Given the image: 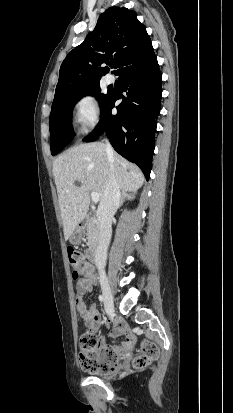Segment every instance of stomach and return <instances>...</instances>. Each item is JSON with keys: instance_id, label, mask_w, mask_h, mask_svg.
<instances>
[{"instance_id": "stomach-1", "label": "stomach", "mask_w": 233, "mask_h": 413, "mask_svg": "<svg viewBox=\"0 0 233 413\" xmlns=\"http://www.w3.org/2000/svg\"><path fill=\"white\" fill-rule=\"evenodd\" d=\"M84 236V229L80 226H77L74 231L72 232L69 241L74 244L77 245L81 242L82 238Z\"/></svg>"}]
</instances>
